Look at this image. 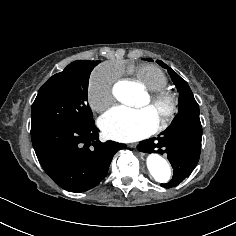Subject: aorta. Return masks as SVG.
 I'll use <instances>...</instances> for the list:
<instances>
[{
  "mask_svg": "<svg viewBox=\"0 0 236 236\" xmlns=\"http://www.w3.org/2000/svg\"><path fill=\"white\" fill-rule=\"evenodd\" d=\"M117 93L124 102L129 104L135 102L136 94L131 91L129 85L126 84L118 87ZM147 168L155 181L159 183H167L171 179L170 165L159 154L151 153L148 155Z\"/></svg>",
  "mask_w": 236,
  "mask_h": 236,
  "instance_id": "obj_1",
  "label": "aorta"
}]
</instances>
